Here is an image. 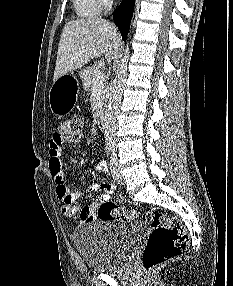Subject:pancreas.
<instances>
[{
  "instance_id": "1",
  "label": "pancreas",
  "mask_w": 233,
  "mask_h": 286,
  "mask_svg": "<svg viewBox=\"0 0 233 286\" xmlns=\"http://www.w3.org/2000/svg\"><path fill=\"white\" fill-rule=\"evenodd\" d=\"M98 72H100V69L96 66L86 67L80 71V77L83 81V87L86 91H91L94 87V76L97 75ZM105 84V81L99 84L101 103H103L105 99Z\"/></svg>"
}]
</instances>
